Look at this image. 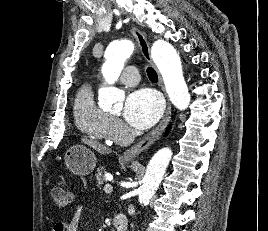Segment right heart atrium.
<instances>
[{"instance_id": "obj_1", "label": "right heart atrium", "mask_w": 268, "mask_h": 231, "mask_svg": "<svg viewBox=\"0 0 268 231\" xmlns=\"http://www.w3.org/2000/svg\"><path fill=\"white\" fill-rule=\"evenodd\" d=\"M125 131V126L118 118L112 119L111 125V141H116Z\"/></svg>"}]
</instances>
